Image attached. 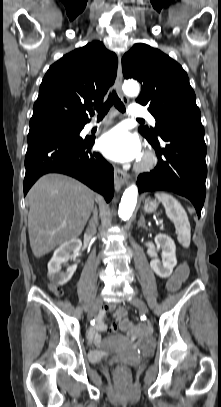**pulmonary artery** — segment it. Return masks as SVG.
Segmentation results:
<instances>
[{
    "label": "pulmonary artery",
    "instance_id": "1",
    "mask_svg": "<svg viewBox=\"0 0 221 407\" xmlns=\"http://www.w3.org/2000/svg\"><path fill=\"white\" fill-rule=\"evenodd\" d=\"M128 112L133 117H144V118H146L150 122V124H152L153 126H155V124H156L155 118L144 107H142V106H140L138 104H132L129 107ZM109 123L110 122H107V121H103V122H100V123L91 122V123H89L87 125V129L90 130V129H93L95 127H101V126L109 124Z\"/></svg>",
    "mask_w": 221,
    "mask_h": 407
}]
</instances>
